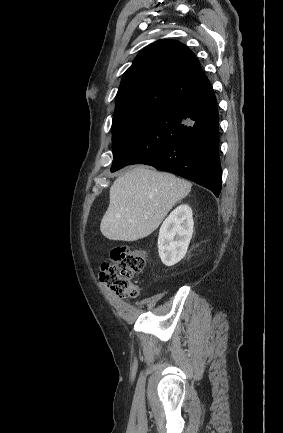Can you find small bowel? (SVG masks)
<instances>
[{
	"label": "small bowel",
	"mask_w": 283,
	"mask_h": 433,
	"mask_svg": "<svg viewBox=\"0 0 283 433\" xmlns=\"http://www.w3.org/2000/svg\"><path fill=\"white\" fill-rule=\"evenodd\" d=\"M113 299L117 304L118 310L124 319L130 321L136 316L135 311L132 310L121 298L113 296Z\"/></svg>",
	"instance_id": "1"
}]
</instances>
